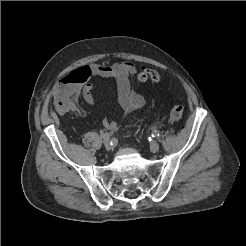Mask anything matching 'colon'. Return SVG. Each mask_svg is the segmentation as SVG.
I'll return each instance as SVG.
<instances>
[{
	"label": "colon",
	"instance_id": "1",
	"mask_svg": "<svg viewBox=\"0 0 246 246\" xmlns=\"http://www.w3.org/2000/svg\"><path fill=\"white\" fill-rule=\"evenodd\" d=\"M137 80L139 83H146L148 81L159 83L161 77L156 70L143 66L137 75ZM183 113L184 108L181 105H173L170 110V118L173 121H179L182 118Z\"/></svg>",
	"mask_w": 246,
	"mask_h": 246
}]
</instances>
